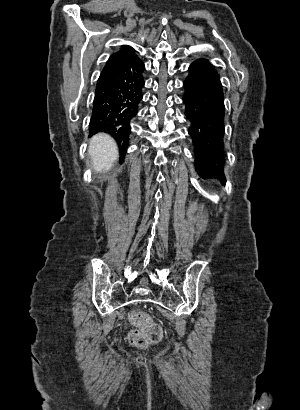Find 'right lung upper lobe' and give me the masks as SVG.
I'll list each match as a JSON object with an SVG mask.
<instances>
[{
  "mask_svg": "<svg viewBox=\"0 0 300 410\" xmlns=\"http://www.w3.org/2000/svg\"><path fill=\"white\" fill-rule=\"evenodd\" d=\"M136 57L137 56H136L133 48H131L129 46H122L119 51L112 54V56L107 61L106 66H109L111 64H114V63H117V62H120V61H124V60H127V59L136 58Z\"/></svg>",
  "mask_w": 300,
  "mask_h": 410,
  "instance_id": "right-lung-upper-lobe-1",
  "label": "right lung upper lobe"
}]
</instances>
